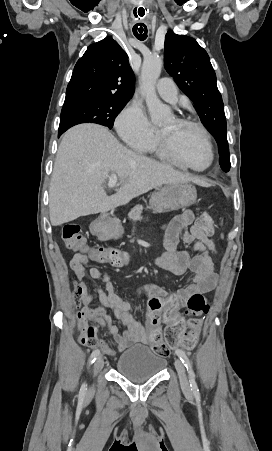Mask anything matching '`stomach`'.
Listing matches in <instances>:
<instances>
[{
    "label": "stomach",
    "instance_id": "obj_1",
    "mask_svg": "<svg viewBox=\"0 0 272 451\" xmlns=\"http://www.w3.org/2000/svg\"><path fill=\"white\" fill-rule=\"evenodd\" d=\"M197 200V192L194 186L188 182H176V184H165L159 192L152 194L150 208L156 212H172L192 206ZM122 229H118L117 235H121Z\"/></svg>",
    "mask_w": 272,
    "mask_h": 451
}]
</instances>
